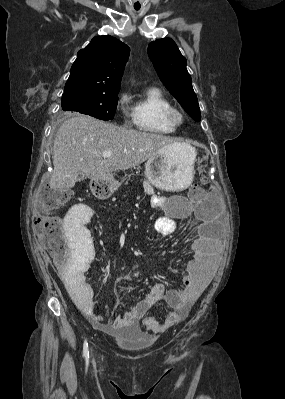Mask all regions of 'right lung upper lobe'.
<instances>
[{"label":"right lung upper lobe","instance_id":"cb5924a9","mask_svg":"<svg viewBox=\"0 0 285 399\" xmlns=\"http://www.w3.org/2000/svg\"><path fill=\"white\" fill-rule=\"evenodd\" d=\"M129 47L110 36H96L81 49L71 67L63 94L119 92Z\"/></svg>","mask_w":285,"mask_h":399}]
</instances>
